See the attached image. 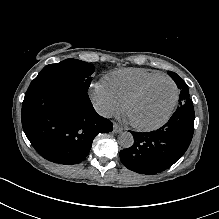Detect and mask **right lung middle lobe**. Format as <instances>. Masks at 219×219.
Instances as JSON below:
<instances>
[{
    "label": "right lung middle lobe",
    "mask_w": 219,
    "mask_h": 219,
    "mask_svg": "<svg viewBox=\"0 0 219 219\" xmlns=\"http://www.w3.org/2000/svg\"><path fill=\"white\" fill-rule=\"evenodd\" d=\"M95 67L84 61L77 59H66L57 64H49L45 66L34 81L41 79H57L73 82L87 91L91 83V75Z\"/></svg>",
    "instance_id": "dd1d6c3e"
}]
</instances>
